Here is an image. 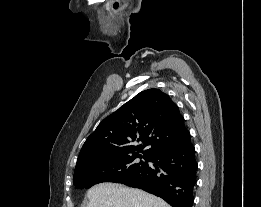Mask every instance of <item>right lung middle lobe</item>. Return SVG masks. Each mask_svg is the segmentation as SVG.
Listing matches in <instances>:
<instances>
[{
	"label": "right lung middle lobe",
	"instance_id": "1",
	"mask_svg": "<svg viewBox=\"0 0 261 207\" xmlns=\"http://www.w3.org/2000/svg\"><path fill=\"white\" fill-rule=\"evenodd\" d=\"M143 158L144 161H137ZM150 157L139 154L123 155L99 160L75 169L73 184L78 189L90 188L101 182L123 180L147 167Z\"/></svg>",
	"mask_w": 261,
	"mask_h": 207
}]
</instances>
